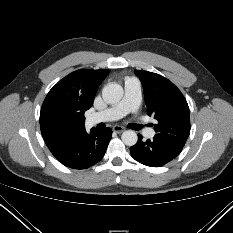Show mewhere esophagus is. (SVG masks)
Masks as SVG:
<instances>
[{
    "label": "esophagus",
    "instance_id": "esophagus-1",
    "mask_svg": "<svg viewBox=\"0 0 233 233\" xmlns=\"http://www.w3.org/2000/svg\"><path fill=\"white\" fill-rule=\"evenodd\" d=\"M124 130H125V128L122 127V126L115 125L113 127V131L116 132V133H122Z\"/></svg>",
    "mask_w": 233,
    "mask_h": 233
}]
</instances>
